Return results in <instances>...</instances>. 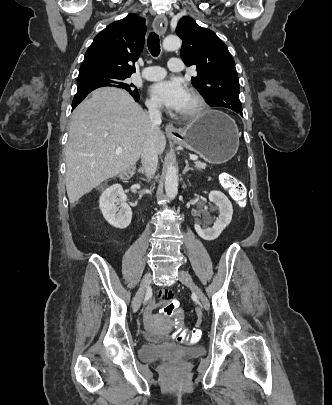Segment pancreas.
Segmentation results:
<instances>
[{"mask_svg": "<svg viewBox=\"0 0 332 405\" xmlns=\"http://www.w3.org/2000/svg\"><path fill=\"white\" fill-rule=\"evenodd\" d=\"M195 167H196V169H198V170H203V169L206 168V164L203 163V162L197 161V162L195 163Z\"/></svg>", "mask_w": 332, "mask_h": 405, "instance_id": "obj_1", "label": "pancreas"}]
</instances>
